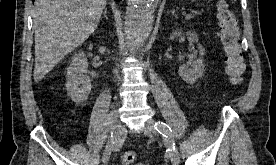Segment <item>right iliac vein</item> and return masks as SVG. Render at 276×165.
<instances>
[{
	"label": "right iliac vein",
	"instance_id": "1",
	"mask_svg": "<svg viewBox=\"0 0 276 165\" xmlns=\"http://www.w3.org/2000/svg\"><path fill=\"white\" fill-rule=\"evenodd\" d=\"M109 129L111 136H109L108 143L103 153L102 160L104 165L108 163L111 153L119 149L123 136V128L118 121L115 110L109 114Z\"/></svg>",
	"mask_w": 276,
	"mask_h": 165
}]
</instances>
